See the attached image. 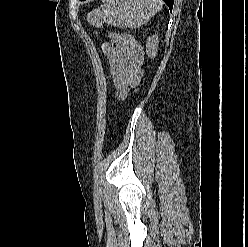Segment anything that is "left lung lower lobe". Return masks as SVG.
Wrapping results in <instances>:
<instances>
[{"label": "left lung lower lobe", "instance_id": "obj_1", "mask_svg": "<svg viewBox=\"0 0 248 247\" xmlns=\"http://www.w3.org/2000/svg\"><path fill=\"white\" fill-rule=\"evenodd\" d=\"M163 1L169 6V9L172 10L174 0H163Z\"/></svg>", "mask_w": 248, "mask_h": 247}]
</instances>
